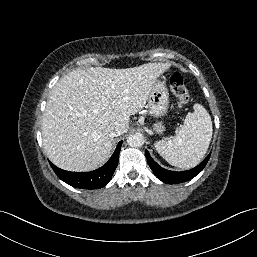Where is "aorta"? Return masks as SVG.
<instances>
[{
  "label": "aorta",
  "instance_id": "762f6f07",
  "mask_svg": "<svg viewBox=\"0 0 257 257\" xmlns=\"http://www.w3.org/2000/svg\"><path fill=\"white\" fill-rule=\"evenodd\" d=\"M127 144L131 147H141L144 144V137L140 133H134L128 136Z\"/></svg>",
  "mask_w": 257,
  "mask_h": 257
}]
</instances>
